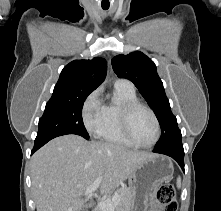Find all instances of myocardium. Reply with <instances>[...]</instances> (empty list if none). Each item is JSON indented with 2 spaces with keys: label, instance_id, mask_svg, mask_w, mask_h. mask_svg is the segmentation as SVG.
I'll return each instance as SVG.
<instances>
[{
  "label": "myocardium",
  "instance_id": "obj_1",
  "mask_svg": "<svg viewBox=\"0 0 221 211\" xmlns=\"http://www.w3.org/2000/svg\"><path fill=\"white\" fill-rule=\"evenodd\" d=\"M138 109H145L146 111H148L151 117L153 118V121L155 124L156 135H155L154 140L149 144L139 143L138 141H136V139L134 138L132 134L131 119H132V115L134 114V112ZM120 123H121V129H122L123 135L133 146H136L139 148H150L154 146L160 138V124H159L157 115L155 114L152 108H150L148 105L140 101L128 102V103H125L121 107Z\"/></svg>",
  "mask_w": 221,
  "mask_h": 211
}]
</instances>
